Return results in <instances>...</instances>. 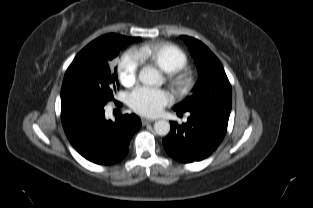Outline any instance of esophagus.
Wrapping results in <instances>:
<instances>
[{
	"instance_id": "esophagus-1",
	"label": "esophagus",
	"mask_w": 313,
	"mask_h": 208,
	"mask_svg": "<svg viewBox=\"0 0 313 208\" xmlns=\"http://www.w3.org/2000/svg\"><path fill=\"white\" fill-rule=\"evenodd\" d=\"M141 121H142V125H143V126L146 125V124H148V123L154 122L153 119H146V118H142Z\"/></svg>"
}]
</instances>
